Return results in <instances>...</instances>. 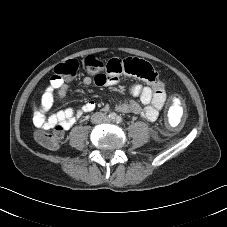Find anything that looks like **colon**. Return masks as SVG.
<instances>
[{"label": "colon", "instance_id": "5ec220e1", "mask_svg": "<svg viewBox=\"0 0 227 227\" xmlns=\"http://www.w3.org/2000/svg\"><path fill=\"white\" fill-rule=\"evenodd\" d=\"M83 65L88 71L95 74L98 80H101V73L104 68L111 71L114 74L120 72V68L116 59L110 60L105 64L100 58L94 55H87L83 58ZM126 72L135 74L141 78L152 79L154 77L153 67L143 61L128 60L124 64ZM79 70V62L77 59H69L63 63H59L55 69L54 74L51 77L50 89H56L61 87L65 78H73L77 75ZM169 112L172 116H177L183 109L184 103L181 95L173 93L169 98ZM61 133L59 131L54 132H37L35 134L36 140L50 148L56 149L60 145Z\"/></svg>", "mask_w": 227, "mask_h": 227}]
</instances>
